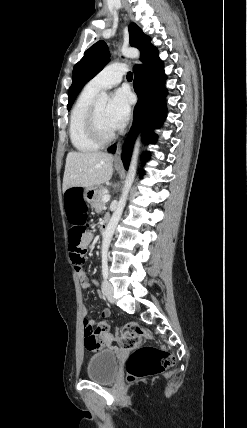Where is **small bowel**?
Wrapping results in <instances>:
<instances>
[{"mask_svg":"<svg viewBox=\"0 0 247 428\" xmlns=\"http://www.w3.org/2000/svg\"><path fill=\"white\" fill-rule=\"evenodd\" d=\"M93 238H94V236L91 232H86L83 234L81 241H80V244H79V248L81 250H83L84 253L88 249L90 244L92 243ZM70 256H71V260L75 264V268L78 272V277H79V282H80L81 288L86 289V288L90 287L91 281L88 278L87 273L81 268V265L76 260L74 253L72 251H71ZM99 295H101V294L99 293ZM103 309H106V308H103ZM82 314H83L84 318L89 319V321L91 322V327H92L95 324V319L92 317H87V307L86 306L82 307ZM101 323L102 322H100L98 325H100ZM105 323L108 324L106 321H105ZM104 335L106 336L105 340L108 342V344H110L113 341L112 335L109 332L104 333Z\"/></svg>","mask_w":247,"mask_h":428,"instance_id":"obj_1","label":"small bowel"}]
</instances>
